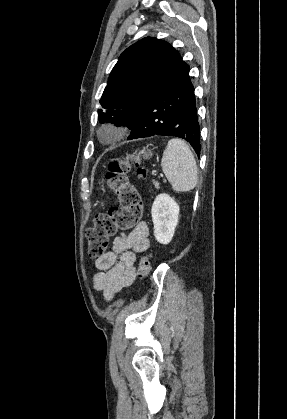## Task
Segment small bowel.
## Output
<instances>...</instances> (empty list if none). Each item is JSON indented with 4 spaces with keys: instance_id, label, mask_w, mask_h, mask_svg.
I'll list each match as a JSON object with an SVG mask.
<instances>
[{
    "instance_id": "small-bowel-1",
    "label": "small bowel",
    "mask_w": 287,
    "mask_h": 419,
    "mask_svg": "<svg viewBox=\"0 0 287 419\" xmlns=\"http://www.w3.org/2000/svg\"><path fill=\"white\" fill-rule=\"evenodd\" d=\"M149 228L145 222L138 223L132 230L116 237L111 249L97 258L99 270L94 276V286L103 293L106 300L129 288L136 277V254L149 248Z\"/></svg>"
}]
</instances>
